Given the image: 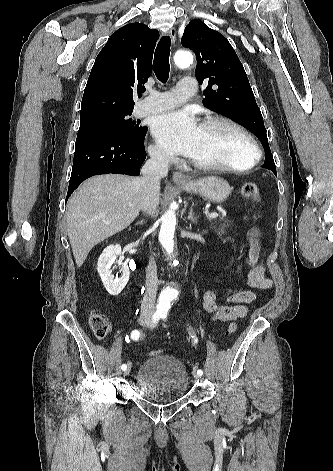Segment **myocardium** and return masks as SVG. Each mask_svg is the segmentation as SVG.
I'll return each instance as SVG.
<instances>
[{
    "label": "myocardium",
    "mask_w": 333,
    "mask_h": 471,
    "mask_svg": "<svg viewBox=\"0 0 333 471\" xmlns=\"http://www.w3.org/2000/svg\"><path fill=\"white\" fill-rule=\"evenodd\" d=\"M216 123L226 124L232 127L245 138L251 150L250 159L243 165L206 164L192 158L190 159V163L195 168L203 171L241 173L252 169L260 159V149L253 135L243 125L226 116L217 115L205 118L201 122L200 126H208Z\"/></svg>",
    "instance_id": "myocardium-1"
}]
</instances>
